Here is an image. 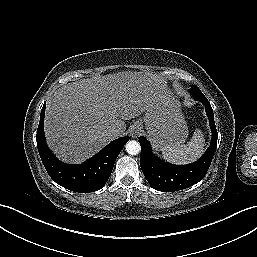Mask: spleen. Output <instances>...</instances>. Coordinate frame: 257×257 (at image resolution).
I'll return each instance as SVG.
<instances>
[{"mask_svg":"<svg viewBox=\"0 0 257 257\" xmlns=\"http://www.w3.org/2000/svg\"><path fill=\"white\" fill-rule=\"evenodd\" d=\"M205 146L201 130L197 129L187 144H172L162 148L163 157L175 164H188L198 159Z\"/></svg>","mask_w":257,"mask_h":257,"instance_id":"spleen-1","label":"spleen"}]
</instances>
